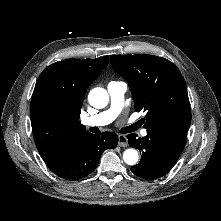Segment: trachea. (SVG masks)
I'll return each mask as SVG.
<instances>
[{
	"label": "trachea",
	"mask_w": 221,
	"mask_h": 221,
	"mask_svg": "<svg viewBox=\"0 0 221 221\" xmlns=\"http://www.w3.org/2000/svg\"><path fill=\"white\" fill-rule=\"evenodd\" d=\"M138 128V124H134V125H131V126H128V127H125L123 129H121V133H129V132H133L135 131L136 129Z\"/></svg>",
	"instance_id": "trachea-1"
}]
</instances>
